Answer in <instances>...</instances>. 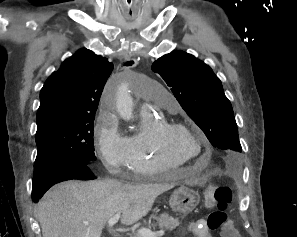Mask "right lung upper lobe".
I'll use <instances>...</instances> for the list:
<instances>
[{
  "instance_id": "right-lung-upper-lobe-1",
  "label": "right lung upper lobe",
  "mask_w": 297,
  "mask_h": 237,
  "mask_svg": "<svg viewBox=\"0 0 297 237\" xmlns=\"http://www.w3.org/2000/svg\"><path fill=\"white\" fill-rule=\"evenodd\" d=\"M112 70L113 64L93 51L76 52L51 74L41 89L37 123L58 116L95 115Z\"/></svg>"
}]
</instances>
